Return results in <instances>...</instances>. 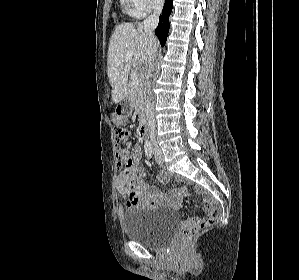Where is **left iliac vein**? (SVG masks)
<instances>
[{"instance_id":"1","label":"left iliac vein","mask_w":299,"mask_h":280,"mask_svg":"<svg viewBox=\"0 0 299 280\" xmlns=\"http://www.w3.org/2000/svg\"><path fill=\"white\" fill-rule=\"evenodd\" d=\"M155 160L158 164H163V162H164L163 153L159 148L155 149Z\"/></svg>"}]
</instances>
